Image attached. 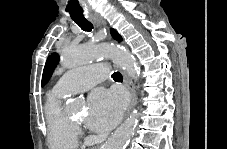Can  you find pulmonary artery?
<instances>
[{"label": "pulmonary artery", "mask_w": 227, "mask_h": 149, "mask_svg": "<svg viewBox=\"0 0 227 149\" xmlns=\"http://www.w3.org/2000/svg\"><path fill=\"white\" fill-rule=\"evenodd\" d=\"M106 77L104 65H90L74 68L63 74L54 86V90L63 95H72L87 91Z\"/></svg>", "instance_id": "pulmonary-artery-1"}]
</instances>
